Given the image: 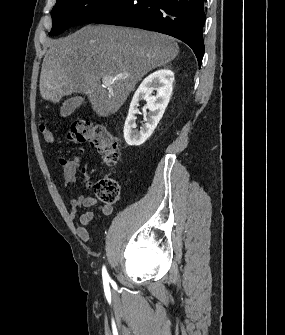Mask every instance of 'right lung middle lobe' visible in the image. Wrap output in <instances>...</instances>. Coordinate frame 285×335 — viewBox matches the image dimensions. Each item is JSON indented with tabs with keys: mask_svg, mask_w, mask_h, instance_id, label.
<instances>
[{
	"mask_svg": "<svg viewBox=\"0 0 285 335\" xmlns=\"http://www.w3.org/2000/svg\"><path fill=\"white\" fill-rule=\"evenodd\" d=\"M120 0H57L52 10L53 28L49 33L55 36L73 25L83 24L98 17Z\"/></svg>",
	"mask_w": 285,
	"mask_h": 335,
	"instance_id": "1",
	"label": "right lung middle lobe"
}]
</instances>
